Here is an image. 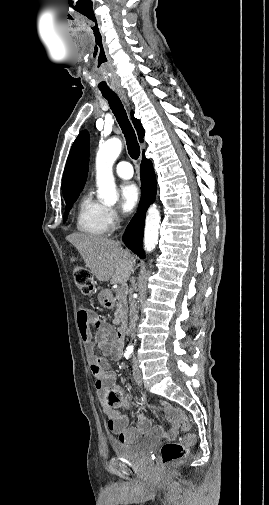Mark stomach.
<instances>
[{
	"mask_svg": "<svg viewBox=\"0 0 269 505\" xmlns=\"http://www.w3.org/2000/svg\"><path fill=\"white\" fill-rule=\"evenodd\" d=\"M99 302H100V304H102V305H105V304H106L105 299L103 298V294H102V293H101V294H100V296H99Z\"/></svg>",
	"mask_w": 269,
	"mask_h": 505,
	"instance_id": "obj_1",
	"label": "stomach"
}]
</instances>
